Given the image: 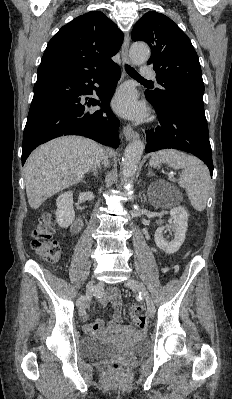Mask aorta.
Instances as JSON below:
<instances>
[{
    "instance_id": "762f6f07",
    "label": "aorta",
    "mask_w": 232,
    "mask_h": 399,
    "mask_svg": "<svg viewBox=\"0 0 232 399\" xmlns=\"http://www.w3.org/2000/svg\"><path fill=\"white\" fill-rule=\"evenodd\" d=\"M150 50L144 43H135L131 46L129 57L133 64L141 65L149 59ZM144 151V144L141 140L130 143L125 151L122 159V171L127 183V190L133 194L132 180L137 171L140 159ZM136 208V206H134Z\"/></svg>"
}]
</instances>
